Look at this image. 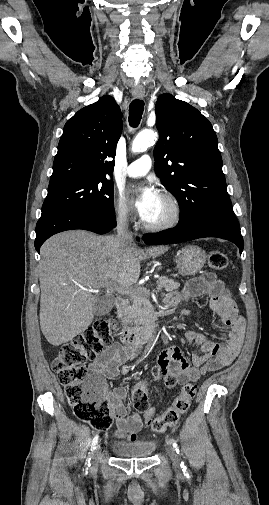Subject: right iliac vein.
I'll return each instance as SVG.
<instances>
[{"mask_svg":"<svg viewBox=\"0 0 269 505\" xmlns=\"http://www.w3.org/2000/svg\"><path fill=\"white\" fill-rule=\"evenodd\" d=\"M100 449H101L100 444H97L92 451V456H91L92 461H91V467H90L91 472H95L97 469L98 459L100 457V452H101Z\"/></svg>","mask_w":269,"mask_h":505,"instance_id":"63e3f726","label":"right iliac vein"}]
</instances>
